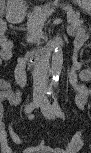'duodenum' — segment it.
Returning a JSON list of instances; mask_svg holds the SVG:
<instances>
[{
    "mask_svg": "<svg viewBox=\"0 0 91 153\" xmlns=\"http://www.w3.org/2000/svg\"><path fill=\"white\" fill-rule=\"evenodd\" d=\"M18 14H15L17 16ZM62 39L55 38L47 46L36 50L27 51L24 54L25 60L30 64H43L47 62L56 48L61 47Z\"/></svg>",
    "mask_w": 91,
    "mask_h": 153,
    "instance_id": "obj_1",
    "label": "duodenum"
}]
</instances>
